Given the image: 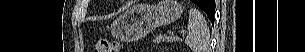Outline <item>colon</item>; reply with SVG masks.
Masks as SVG:
<instances>
[{
  "label": "colon",
  "mask_w": 305,
  "mask_h": 52,
  "mask_svg": "<svg viewBox=\"0 0 305 52\" xmlns=\"http://www.w3.org/2000/svg\"><path fill=\"white\" fill-rule=\"evenodd\" d=\"M121 46L117 41L100 39L96 45L95 52H119Z\"/></svg>",
  "instance_id": "1"
}]
</instances>
